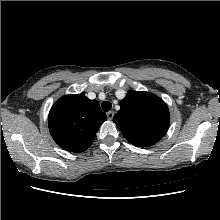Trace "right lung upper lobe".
Wrapping results in <instances>:
<instances>
[{"instance_id":"obj_1","label":"right lung upper lobe","mask_w":220,"mask_h":220,"mask_svg":"<svg viewBox=\"0 0 220 220\" xmlns=\"http://www.w3.org/2000/svg\"><path fill=\"white\" fill-rule=\"evenodd\" d=\"M106 120L99 102L81 93L59 99L50 110L48 126L54 141L62 149L80 153L92 145L96 132Z\"/></svg>"}]
</instances>
